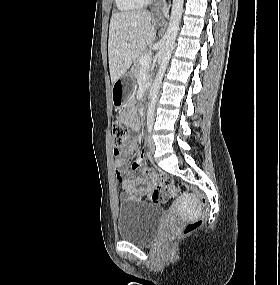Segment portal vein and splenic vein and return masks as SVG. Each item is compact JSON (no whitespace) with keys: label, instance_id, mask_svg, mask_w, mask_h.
Masks as SVG:
<instances>
[{"label":"portal vein and splenic vein","instance_id":"1","mask_svg":"<svg viewBox=\"0 0 280 285\" xmlns=\"http://www.w3.org/2000/svg\"><path fill=\"white\" fill-rule=\"evenodd\" d=\"M152 56L150 54L142 56L140 59V63L142 66H148L151 63Z\"/></svg>","mask_w":280,"mask_h":285}]
</instances>
